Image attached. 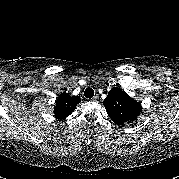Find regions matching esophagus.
<instances>
[{
  "label": "esophagus",
  "mask_w": 179,
  "mask_h": 179,
  "mask_svg": "<svg viewBox=\"0 0 179 179\" xmlns=\"http://www.w3.org/2000/svg\"><path fill=\"white\" fill-rule=\"evenodd\" d=\"M98 99H99V96H98V95H95V96L92 98L93 101H97Z\"/></svg>",
  "instance_id": "obj_1"
}]
</instances>
